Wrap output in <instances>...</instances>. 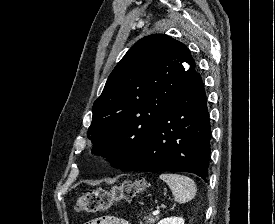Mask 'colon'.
Wrapping results in <instances>:
<instances>
[{"mask_svg":"<svg viewBox=\"0 0 275 224\" xmlns=\"http://www.w3.org/2000/svg\"><path fill=\"white\" fill-rule=\"evenodd\" d=\"M147 185L144 179L125 180L110 188H97L80 196L76 203L79 212L95 213L109 210L121 201H132Z\"/></svg>","mask_w":275,"mask_h":224,"instance_id":"obj_1","label":"colon"}]
</instances>
